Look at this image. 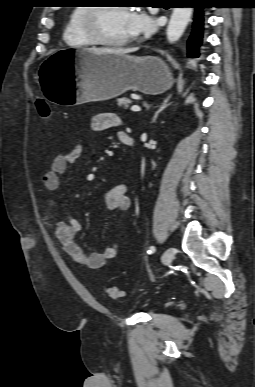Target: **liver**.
<instances>
[{
	"label": "liver",
	"mask_w": 255,
	"mask_h": 387,
	"mask_svg": "<svg viewBox=\"0 0 255 387\" xmlns=\"http://www.w3.org/2000/svg\"><path fill=\"white\" fill-rule=\"evenodd\" d=\"M87 50L94 52V53H98V54L108 53V54H115V55H126L128 53L136 51L135 48H127V49H123V48H90Z\"/></svg>",
	"instance_id": "6515ba94"
}]
</instances>
